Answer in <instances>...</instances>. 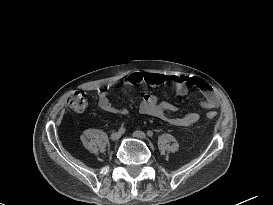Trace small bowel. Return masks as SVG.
I'll list each match as a JSON object with an SVG mask.
<instances>
[{
    "label": "small bowel",
    "instance_id": "small-bowel-1",
    "mask_svg": "<svg viewBox=\"0 0 273 205\" xmlns=\"http://www.w3.org/2000/svg\"><path fill=\"white\" fill-rule=\"evenodd\" d=\"M164 82H172L175 84V92L178 96H185L188 93L187 83L194 85L203 95L204 100L201 101V106L206 109H214L219 106V98L213 88L204 80L197 77H189L184 75L165 76L158 73L143 74L135 72L124 79L125 84L129 85H160ZM98 105L99 107L109 113L113 114H127L125 108L115 107L109 99L108 89L101 87L98 91ZM176 106L168 101H158L157 98L149 93L143 95L140 103V112L144 115L154 116L165 119L174 126L186 127L194 124L199 116L197 113L189 112L181 117H168L167 112H174Z\"/></svg>",
    "mask_w": 273,
    "mask_h": 205
}]
</instances>
